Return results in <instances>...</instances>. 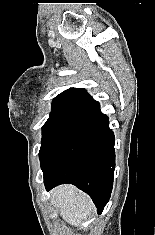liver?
I'll use <instances>...</instances> for the list:
<instances>
[{
    "mask_svg": "<svg viewBox=\"0 0 155 235\" xmlns=\"http://www.w3.org/2000/svg\"><path fill=\"white\" fill-rule=\"evenodd\" d=\"M51 204L59 209L62 218L73 226H79L90 216L94 205L90 197L73 185H62L51 192Z\"/></svg>",
    "mask_w": 155,
    "mask_h": 235,
    "instance_id": "6515ba94",
    "label": "liver"
}]
</instances>
